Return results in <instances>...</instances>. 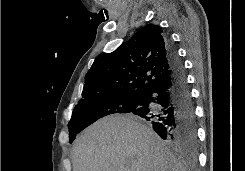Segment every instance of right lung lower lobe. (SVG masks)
Instances as JSON below:
<instances>
[{
	"label": "right lung lower lobe",
	"instance_id": "98d812e1",
	"mask_svg": "<svg viewBox=\"0 0 245 171\" xmlns=\"http://www.w3.org/2000/svg\"><path fill=\"white\" fill-rule=\"evenodd\" d=\"M167 55L170 75L144 91L141 105L131 113L147 120L162 139L195 152L197 127L191 92L183 63L169 40Z\"/></svg>",
	"mask_w": 245,
	"mask_h": 171
}]
</instances>
